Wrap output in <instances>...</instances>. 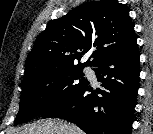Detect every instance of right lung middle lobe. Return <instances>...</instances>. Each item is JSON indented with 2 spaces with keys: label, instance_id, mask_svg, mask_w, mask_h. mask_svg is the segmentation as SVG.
Segmentation results:
<instances>
[{
  "label": "right lung middle lobe",
  "instance_id": "obj_1",
  "mask_svg": "<svg viewBox=\"0 0 153 134\" xmlns=\"http://www.w3.org/2000/svg\"><path fill=\"white\" fill-rule=\"evenodd\" d=\"M83 68H55L23 79L15 124L45 114L83 89L89 83L84 77Z\"/></svg>",
  "mask_w": 153,
  "mask_h": 134
}]
</instances>
